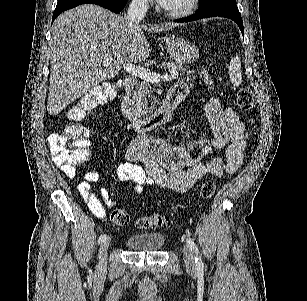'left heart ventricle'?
Here are the masks:
<instances>
[{"instance_id": "left-heart-ventricle-1", "label": "left heart ventricle", "mask_w": 307, "mask_h": 301, "mask_svg": "<svg viewBox=\"0 0 307 301\" xmlns=\"http://www.w3.org/2000/svg\"><path fill=\"white\" fill-rule=\"evenodd\" d=\"M190 0H180L179 2H181L180 5L178 6H184L186 5ZM171 4L172 5H177L178 4V0H171Z\"/></svg>"}]
</instances>
